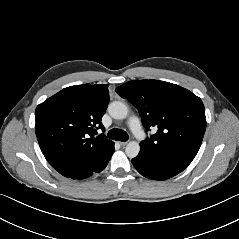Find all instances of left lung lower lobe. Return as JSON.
Wrapping results in <instances>:
<instances>
[{
    "label": "left lung lower lobe",
    "mask_w": 239,
    "mask_h": 239,
    "mask_svg": "<svg viewBox=\"0 0 239 239\" xmlns=\"http://www.w3.org/2000/svg\"><path fill=\"white\" fill-rule=\"evenodd\" d=\"M132 163L141 175L154 180H166L185 169V167L176 165L154 155L146 154L142 151L139 152L137 157L132 159Z\"/></svg>",
    "instance_id": "1"
}]
</instances>
